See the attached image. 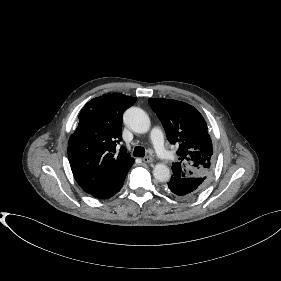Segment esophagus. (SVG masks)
<instances>
[{
    "instance_id": "1",
    "label": "esophagus",
    "mask_w": 281,
    "mask_h": 281,
    "mask_svg": "<svg viewBox=\"0 0 281 281\" xmlns=\"http://www.w3.org/2000/svg\"><path fill=\"white\" fill-rule=\"evenodd\" d=\"M144 163H152L153 162V158L151 156H146L143 159Z\"/></svg>"
}]
</instances>
